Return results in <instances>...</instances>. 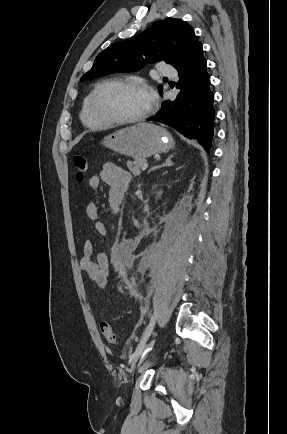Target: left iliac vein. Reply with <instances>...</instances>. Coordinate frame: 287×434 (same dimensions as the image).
Returning <instances> with one entry per match:
<instances>
[{
    "mask_svg": "<svg viewBox=\"0 0 287 434\" xmlns=\"http://www.w3.org/2000/svg\"><path fill=\"white\" fill-rule=\"evenodd\" d=\"M155 341H156V338L155 337H153L151 340H149V342L147 343V344H145V346H144V348H143V352H147V351H150L153 347H154V345H155ZM145 354L143 353L141 356L143 357ZM147 367H148V365H147V363H144L141 367H140V369H139V372H144L146 369H147Z\"/></svg>",
    "mask_w": 287,
    "mask_h": 434,
    "instance_id": "4c4485c4",
    "label": "left iliac vein"
}]
</instances>
